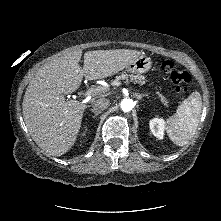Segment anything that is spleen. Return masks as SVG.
<instances>
[{
	"label": "spleen",
	"instance_id": "1",
	"mask_svg": "<svg viewBox=\"0 0 221 221\" xmlns=\"http://www.w3.org/2000/svg\"><path fill=\"white\" fill-rule=\"evenodd\" d=\"M202 112V98L199 92H192L167 119L166 131L177 146L186 145L194 136Z\"/></svg>",
	"mask_w": 221,
	"mask_h": 221
}]
</instances>
